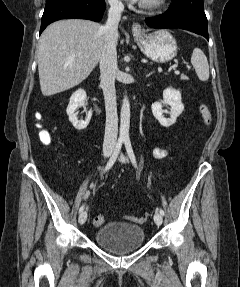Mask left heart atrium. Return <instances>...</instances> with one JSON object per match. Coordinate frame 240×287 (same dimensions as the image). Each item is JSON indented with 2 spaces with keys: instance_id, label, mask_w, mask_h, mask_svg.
<instances>
[{
  "instance_id": "left-heart-atrium-1",
  "label": "left heart atrium",
  "mask_w": 240,
  "mask_h": 287,
  "mask_svg": "<svg viewBox=\"0 0 240 287\" xmlns=\"http://www.w3.org/2000/svg\"><path fill=\"white\" fill-rule=\"evenodd\" d=\"M128 1L139 2V1H143V0H128Z\"/></svg>"
}]
</instances>
